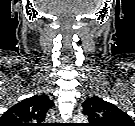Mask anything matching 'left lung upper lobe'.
<instances>
[{"label":"left lung upper lobe","instance_id":"left-lung-upper-lobe-1","mask_svg":"<svg viewBox=\"0 0 135 126\" xmlns=\"http://www.w3.org/2000/svg\"><path fill=\"white\" fill-rule=\"evenodd\" d=\"M82 113L88 116V126H135L127 113L98 96L83 102Z\"/></svg>","mask_w":135,"mask_h":126}]
</instances>
